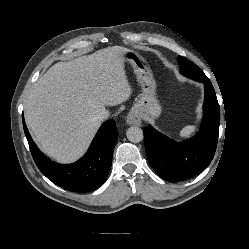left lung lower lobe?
<instances>
[{
    "label": "left lung lower lobe",
    "mask_w": 249,
    "mask_h": 249,
    "mask_svg": "<svg viewBox=\"0 0 249 249\" xmlns=\"http://www.w3.org/2000/svg\"><path fill=\"white\" fill-rule=\"evenodd\" d=\"M189 78L205 85L200 131L191 139L178 143L150 125L143 130L150 165L160 177L171 182L189 179L206 169L217 146L220 108L214 88L204 72Z\"/></svg>",
    "instance_id": "left-lung-lower-lobe-1"
}]
</instances>
